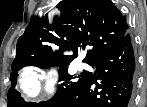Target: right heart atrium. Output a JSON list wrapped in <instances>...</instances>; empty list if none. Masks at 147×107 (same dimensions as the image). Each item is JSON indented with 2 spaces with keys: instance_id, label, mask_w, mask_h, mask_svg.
I'll list each match as a JSON object with an SVG mask.
<instances>
[{
  "instance_id": "obj_1",
  "label": "right heart atrium",
  "mask_w": 147,
  "mask_h": 107,
  "mask_svg": "<svg viewBox=\"0 0 147 107\" xmlns=\"http://www.w3.org/2000/svg\"><path fill=\"white\" fill-rule=\"evenodd\" d=\"M56 74L48 71L43 74L35 71L26 72L21 78V88L29 98H37L41 95H51L55 91Z\"/></svg>"
}]
</instances>
